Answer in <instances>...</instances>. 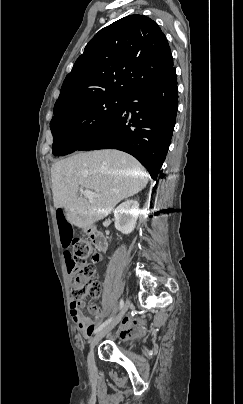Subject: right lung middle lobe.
Returning <instances> with one entry per match:
<instances>
[{"label":"right lung middle lobe","instance_id":"obj_1","mask_svg":"<svg viewBox=\"0 0 243 404\" xmlns=\"http://www.w3.org/2000/svg\"><path fill=\"white\" fill-rule=\"evenodd\" d=\"M122 97H102L52 118V152L63 156L76 151L100 132L122 106Z\"/></svg>","mask_w":243,"mask_h":404}]
</instances>
